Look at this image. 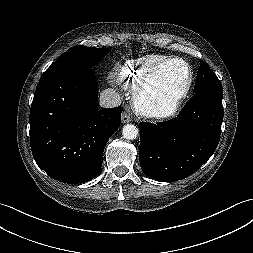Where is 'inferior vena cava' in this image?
<instances>
[{
    "label": "inferior vena cava",
    "mask_w": 253,
    "mask_h": 253,
    "mask_svg": "<svg viewBox=\"0 0 253 253\" xmlns=\"http://www.w3.org/2000/svg\"><path fill=\"white\" fill-rule=\"evenodd\" d=\"M121 104V96L114 89H106L100 94V106L103 108H113Z\"/></svg>",
    "instance_id": "inferior-vena-cava-1"
}]
</instances>
